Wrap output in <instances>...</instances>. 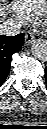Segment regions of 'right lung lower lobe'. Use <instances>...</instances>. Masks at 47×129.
<instances>
[{"mask_svg":"<svg viewBox=\"0 0 47 129\" xmlns=\"http://www.w3.org/2000/svg\"><path fill=\"white\" fill-rule=\"evenodd\" d=\"M23 41V34L16 36H0V85L9 74L12 55L21 49Z\"/></svg>","mask_w":47,"mask_h":129,"instance_id":"98d812e1","label":"right lung lower lobe"}]
</instances>
